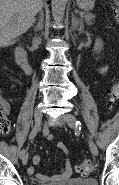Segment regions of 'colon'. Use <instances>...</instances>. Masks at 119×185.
<instances>
[{
	"label": "colon",
	"mask_w": 119,
	"mask_h": 185,
	"mask_svg": "<svg viewBox=\"0 0 119 185\" xmlns=\"http://www.w3.org/2000/svg\"><path fill=\"white\" fill-rule=\"evenodd\" d=\"M114 15L119 20V9L114 10ZM119 98V83H115L109 94V106L113 107L117 99ZM10 121L3 111L2 102L0 103V133L7 134L10 131ZM77 171L82 175H89L94 171V164L90 160L83 161L78 167Z\"/></svg>",
	"instance_id": "5ec220e1"
}]
</instances>
